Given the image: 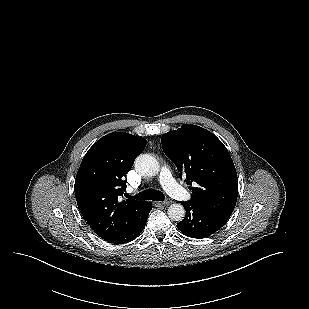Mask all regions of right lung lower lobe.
<instances>
[{"label": "right lung lower lobe", "instance_id": "right-lung-lower-lobe-1", "mask_svg": "<svg viewBox=\"0 0 309 309\" xmlns=\"http://www.w3.org/2000/svg\"><path fill=\"white\" fill-rule=\"evenodd\" d=\"M151 209L152 205L147 202L141 217L134 224H132L127 230H125L121 234L107 238L105 240L113 244H123L134 240L144 229L147 222L148 214Z\"/></svg>", "mask_w": 309, "mask_h": 309}]
</instances>
